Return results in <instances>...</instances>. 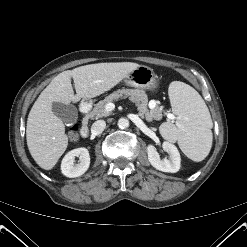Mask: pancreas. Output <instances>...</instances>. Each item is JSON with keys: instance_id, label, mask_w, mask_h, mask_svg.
<instances>
[{"instance_id": "pancreas-1", "label": "pancreas", "mask_w": 247, "mask_h": 247, "mask_svg": "<svg viewBox=\"0 0 247 247\" xmlns=\"http://www.w3.org/2000/svg\"><path fill=\"white\" fill-rule=\"evenodd\" d=\"M127 97H129L131 102L135 103L141 117L160 119V107L156 106L154 109L149 110L147 108L148 97L143 90L139 89H121L114 91L95 105L93 110L88 114V118L98 119L109 116L111 112L106 110V105L119 98Z\"/></svg>"}]
</instances>
